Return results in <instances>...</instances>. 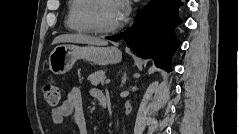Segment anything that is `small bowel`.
Wrapping results in <instances>:
<instances>
[{"instance_id": "small-bowel-1", "label": "small bowel", "mask_w": 239, "mask_h": 134, "mask_svg": "<svg viewBox=\"0 0 239 134\" xmlns=\"http://www.w3.org/2000/svg\"><path fill=\"white\" fill-rule=\"evenodd\" d=\"M90 94L93 98L100 101V98L104 93L99 89H91ZM65 118H68L73 122L79 134L88 133L83 111L81 91L78 88L71 89L62 104L54 108L51 112V121L54 125L62 124Z\"/></svg>"}]
</instances>
